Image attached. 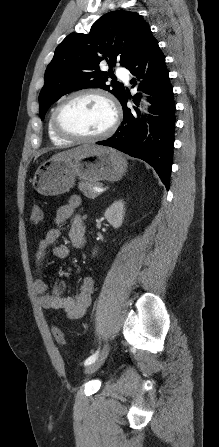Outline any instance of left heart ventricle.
<instances>
[{"mask_svg": "<svg viewBox=\"0 0 219 447\" xmlns=\"http://www.w3.org/2000/svg\"><path fill=\"white\" fill-rule=\"evenodd\" d=\"M112 121L108 103L95 95H85L67 103L60 113V123L67 131L80 135L103 132Z\"/></svg>", "mask_w": 219, "mask_h": 447, "instance_id": "1", "label": "left heart ventricle"}]
</instances>
